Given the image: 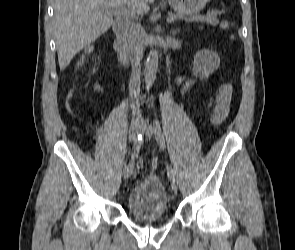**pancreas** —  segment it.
<instances>
[{
	"label": "pancreas",
	"instance_id": "1",
	"mask_svg": "<svg viewBox=\"0 0 295 250\" xmlns=\"http://www.w3.org/2000/svg\"><path fill=\"white\" fill-rule=\"evenodd\" d=\"M171 16H174L176 19L186 20V21H203L211 25H217L219 22L217 19V11H211L206 16H192L190 18H184L180 14H172Z\"/></svg>",
	"mask_w": 295,
	"mask_h": 250
}]
</instances>
